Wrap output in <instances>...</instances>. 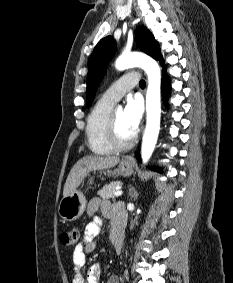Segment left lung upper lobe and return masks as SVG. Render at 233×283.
I'll use <instances>...</instances> for the list:
<instances>
[{
	"label": "left lung upper lobe",
	"instance_id": "5c2ea615",
	"mask_svg": "<svg viewBox=\"0 0 233 283\" xmlns=\"http://www.w3.org/2000/svg\"><path fill=\"white\" fill-rule=\"evenodd\" d=\"M135 35L139 48L154 59L161 57L160 46L154 36L145 27L139 26ZM116 49V42L112 36L103 38L94 48L90 57L87 75V106L93 102L97 87L105 73L107 65Z\"/></svg>",
	"mask_w": 233,
	"mask_h": 283
}]
</instances>
